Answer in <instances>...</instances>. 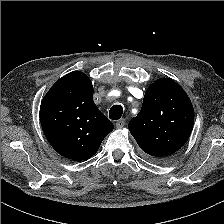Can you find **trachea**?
<instances>
[{
  "label": "trachea",
  "mask_w": 224,
  "mask_h": 224,
  "mask_svg": "<svg viewBox=\"0 0 224 224\" xmlns=\"http://www.w3.org/2000/svg\"><path fill=\"white\" fill-rule=\"evenodd\" d=\"M123 114V107L121 105H113L109 111V118L112 120H118Z\"/></svg>",
  "instance_id": "obj_1"
}]
</instances>
